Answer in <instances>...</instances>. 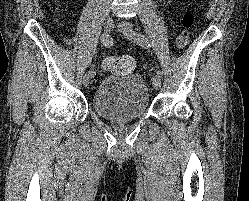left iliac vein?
<instances>
[{"instance_id":"4c4485c4","label":"left iliac vein","mask_w":249,"mask_h":201,"mask_svg":"<svg viewBox=\"0 0 249 201\" xmlns=\"http://www.w3.org/2000/svg\"><path fill=\"white\" fill-rule=\"evenodd\" d=\"M118 27L126 38L135 41L134 33L136 32L129 22L121 21ZM152 84H153V87L158 90L161 87V77L158 75H154L152 77Z\"/></svg>"}]
</instances>
